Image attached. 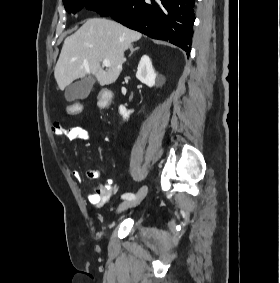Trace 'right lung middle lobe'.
<instances>
[{
	"label": "right lung middle lobe",
	"instance_id": "obj_1",
	"mask_svg": "<svg viewBox=\"0 0 280 283\" xmlns=\"http://www.w3.org/2000/svg\"><path fill=\"white\" fill-rule=\"evenodd\" d=\"M130 0H63L65 9L69 13L80 10L87 2L89 9L97 10L101 15L108 16L122 9Z\"/></svg>",
	"mask_w": 280,
	"mask_h": 283
}]
</instances>
